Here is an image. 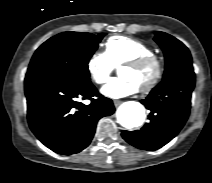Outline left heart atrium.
Returning <instances> with one entry per match:
<instances>
[{
  "label": "left heart atrium",
  "mask_w": 212,
  "mask_h": 183,
  "mask_svg": "<svg viewBox=\"0 0 212 183\" xmlns=\"http://www.w3.org/2000/svg\"><path fill=\"white\" fill-rule=\"evenodd\" d=\"M138 91V87L126 78H114L105 85L101 92L103 95L113 99H119L133 95Z\"/></svg>",
  "instance_id": "obj_1"
}]
</instances>
